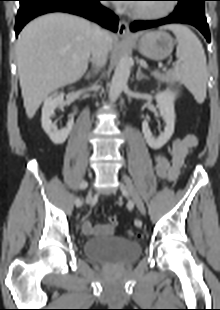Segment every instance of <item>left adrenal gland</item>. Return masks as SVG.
<instances>
[{
  "instance_id": "a2214340",
  "label": "left adrenal gland",
  "mask_w": 220,
  "mask_h": 310,
  "mask_svg": "<svg viewBox=\"0 0 220 310\" xmlns=\"http://www.w3.org/2000/svg\"><path fill=\"white\" fill-rule=\"evenodd\" d=\"M136 79H137V81H140L142 79H148L146 76H144L141 73V68L140 67H138V70H137V73H136Z\"/></svg>"
}]
</instances>
